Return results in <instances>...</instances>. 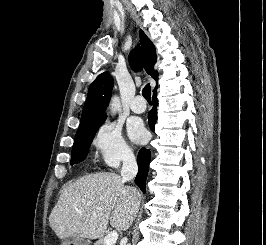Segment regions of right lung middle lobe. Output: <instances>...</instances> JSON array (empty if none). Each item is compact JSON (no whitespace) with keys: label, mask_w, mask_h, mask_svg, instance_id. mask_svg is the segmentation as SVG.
Listing matches in <instances>:
<instances>
[{"label":"right lung middle lobe","mask_w":266,"mask_h":245,"mask_svg":"<svg viewBox=\"0 0 266 245\" xmlns=\"http://www.w3.org/2000/svg\"><path fill=\"white\" fill-rule=\"evenodd\" d=\"M105 119L106 116L79 125V129L76 133L73 144V149L71 154V165L83 161L86 158L90 144L98 128L103 124Z\"/></svg>","instance_id":"1"}]
</instances>
